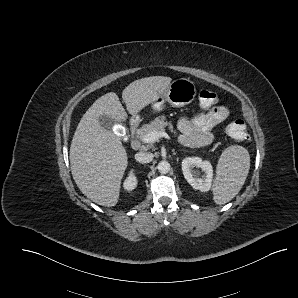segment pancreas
<instances>
[{
	"label": "pancreas",
	"instance_id": "pancreas-1",
	"mask_svg": "<svg viewBox=\"0 0 298 298\" xmlns=\"http://www.w3.org/2000/svg\"><path fill=\"white\" fill-rule=\"evenodd\" d=\"M169 126V123L165 120L164 116H157L152 121L147 124H143L139 129L136 131V138L140 139L148 149L154 148V143L144 142V137L152 131H166V128Z\"/></svg>",
	"mask_w": 298,
	"mask_h": 298
}]
</instances>
